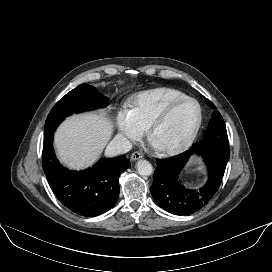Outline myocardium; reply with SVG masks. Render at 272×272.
Here are the masks:
<instances>
[{
	"mask_svg": "<svg viewBox=\"0 0 272 272\" xmlns=\"http://www.w3.org/2000/svg\"><path fill=\"white\" fill-rule=\"evenodd\" d=\"M185 102H192L197 106L198 109V116H197V120L196 123L193 127V129L191 130L190 134L187 136V138L182 141L181 143L174 145V146H170V147H157V149L166 155H174V154H178L184 150H186L195 140L201 124H202V120H203V111H202V107L200 105V103L192 98V97H183L177 100L172 101L171 103H169L151 122V124L148 127V138L151 142H153V137L155 132L157 131V129L163 124V122L170 116V114L174 111V109L176 107H178L179 105L185 103Z\"/></svg>",
	"mask_w": 272,
	"mask_h": 272,
	"instance_id": "1",
	"label": "myocardium"
}]
</instances>
